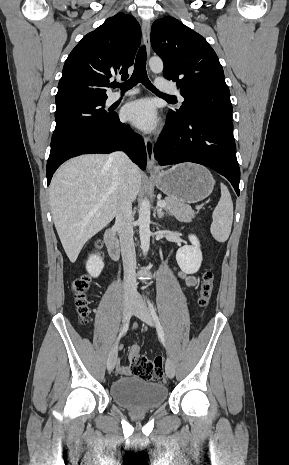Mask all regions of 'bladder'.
Here are the masks:
<instances>
[{
	"label": "bladder",
	"instance_id": "1",
	"mask_svg": "<svg viewBox=\"0 0 289 465\" xmlns=\"http://www.w3.org/2000/svg\"><path fill=\"white\" fill-rule=\"evenodd\" d=\"M109 395L116 404L122 407L154 409L165 402L168 389L160 382L131 376L114 380L110 385Z\"/></svg>",
	"mask_w": 289,
	"mask_h": 465
}]
</instances>
